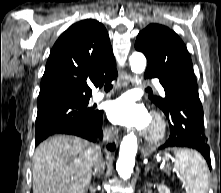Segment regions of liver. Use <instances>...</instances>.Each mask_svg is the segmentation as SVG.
Returning a JSON list of instances; mask_svg holds the SVG:
<instances>
[{"mask_svg": "<svg viewBox=\"0 0 221 193\" xmlns=\"http://www.w3.org/2000/svg\"><path fill=\"white\" fill-rule=\"evenodd\" d=\"M100 147L75 136L42 142L33 157V193H86Z\"/></svg>", "mask_w": 221, "mask_h": 193, "instance_id": "obj_1", "label": "liver"}]
</instances>
